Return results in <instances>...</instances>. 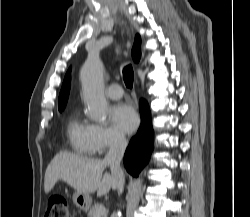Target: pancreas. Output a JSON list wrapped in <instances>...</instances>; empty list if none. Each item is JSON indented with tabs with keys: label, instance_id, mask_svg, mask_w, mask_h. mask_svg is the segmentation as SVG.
I'll use <instances>...</instances> for the list:
<instances>
[{
	"label": "pancreas",
	"instance_id": "obj_1",
	"mask_svg": "<svg viewBox=\"0 0 250 217\" xmlns=\"http://www.w3.org/2000/svg\"><path fill=\"white\" fill-rule=\"evenodd\" d=\"M102 206L101 204L99 203H95L92 208L88 211V214L87 216L88 217H95V213H96V210ZM101 217H107V214L105 213L104 215H102Z\"/></svg>",
	"mask_w": 250,
	"mask_h": 217
}]
</instances>
